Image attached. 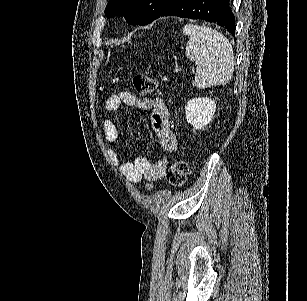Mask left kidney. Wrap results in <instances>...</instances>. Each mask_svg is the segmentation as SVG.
<instances>
[{
	"instance_id": "5707ae66",
	"label": "left kidney",
	"mask_w": 307,
	"mask_h": 301,
	"mask_svg": "<svg viewBox=\"0 0 307 301\" xmlns=\"http://www.w3.org/2000/svg\"><path fill=\"white\" fill-rule=\"evenodd\" d=\"M215 110L216 102L208 96L190 98L185 106L186 120L192 124L195 130H201L212 120Z\"/></svg>"
}]
</instances>
